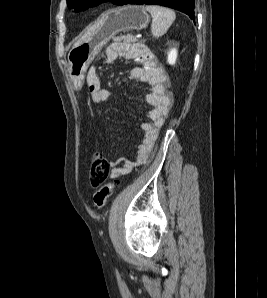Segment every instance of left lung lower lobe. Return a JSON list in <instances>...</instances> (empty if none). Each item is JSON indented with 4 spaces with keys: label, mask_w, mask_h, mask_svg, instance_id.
<instances>
[{
    "label": "left lung lower lobe",
    "mask_w": 267,
    "mask_h": 298,
    "mask_svg": "<svg viewBox=\"0 0 267 298\" xmlns=\"http://www.w3.org/2000/svg\"><path fill=\"white\" fill-rule=\"evenodd\" d=\"M126 4H155L170 7L187 14L192 20L194 18V0H123L121 5Z\"/></svg>",
    "instance_id": "obj_1"
}]
</instances>
